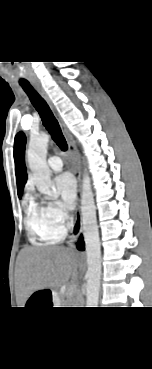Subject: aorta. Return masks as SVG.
Instances as JSON below:
<instances>
[{
  "mask_svg": "<svg viewBox=\"0 0 152 369\" xmlns=\"http://www.w3.org/2000/svg\"><path fill=\"white\" fill-rule=\"evenodd\" d=\"M49 138L50 136L46 133L31 136L27 155L38 191L47 196H54L51 172L46 162ZM81 215L88 266L86 305L87 307H97L101 276V248L94 195L90 178L86 172L82 180Z\"/></svg>",
  "mask_w": 152,
  "mask_h": 369,
  "instance_id": "obj_1",
  "label": "aorta"
}]
</instances>
